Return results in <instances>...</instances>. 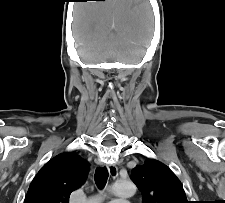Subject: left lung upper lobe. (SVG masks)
<instances>
[{
	"label": "left lung upper lobe",
	"instance_id": "5c2ea615",
	"mask_svg": "<svg viewBox=\"0 0 225 203\" xmlns=\"http://www.w3.org/2000/svg\"><path fill=\"white\" fill-rule=\"evenodd\" d=\"M131 178L145 203H190L179 179L159 161L147 159L143 165H137Z\"/></svg>",
	"mask_w": 225,
	"mask_h": 203
}]
</instances>
